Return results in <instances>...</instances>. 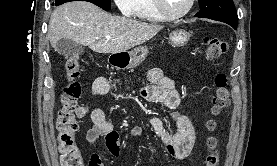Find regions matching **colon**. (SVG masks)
<instances>
[{"label": "colon", "mask_w": 277, "mask_h": 166, "mask_svg": "<svg viewBox=\"0 0 277 166\" xmlns=\"http://www.w3.org/2000/svg\"><path fill=\"white\" fill-rule=\"evenodd\" d=\"M204 56L208 60H214L224 55L228 49L225 41L216 37H207L203 42ZM65 73L67 83L61 95L62 108L58 112L56 120L57 143L60 153L61 166H86L85 159L76 144L75 134L78 126L75 112L82 94V87L79 82L80 65L78 57L69 55L65 58ZM230 93L227 76L220 73L215 78V89L212 98L211 113L213 118L207 123L210 132L216 129V120L228 107ZM208 154L205 159V166H217L219 157L217 152L218 141L214 136L207 140ZM90 162L88 166H90Z\"/></svg>", "instance_id": "obj_1"}]
</instances>
